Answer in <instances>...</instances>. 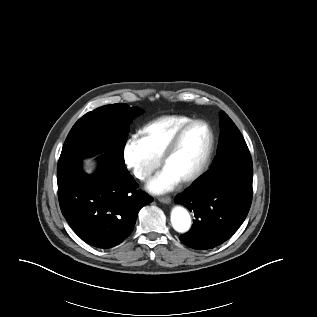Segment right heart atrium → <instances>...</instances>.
<instances>
[{"mask_svg": "<svg viewBox=\"0 0 317 317\" xmlns=\"http://www.w3.org/2000/svg\"><path fill=\"white\" fill-rule=\"evenodd\" d=\"M122 156L126 168L140 181H147L161 163L138 136H132L126 141Z\"/></svg>", "mask_w": 317, "mask_h": 317, "instance_id": "right-heart-atrium-1", "label": "right heart atrium"}]
</instances>
